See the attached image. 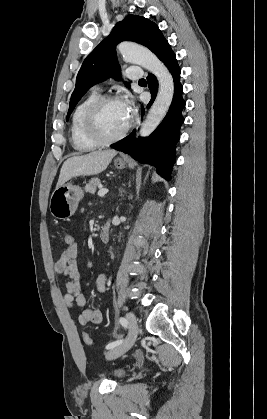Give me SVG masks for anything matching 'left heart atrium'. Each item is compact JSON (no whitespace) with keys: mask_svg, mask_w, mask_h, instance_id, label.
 Listing matches in <instances>:
<instances>
[{"mask_svg":"<svg viewBox=\"0 0 267 419\" xmlns=\"http://www.w3.org/2000/svg\"><path fill=\"white\" fill-rule=\"evenodd\" d=\"M126 111L128 112L129 115H131V111H132V102L129 99H126L124 101H122Z\"/></svg>","mask_w":267,"mask_h":419,"instance_id":"39dd6f15","label":"left heart atrium"}]
</instances>
